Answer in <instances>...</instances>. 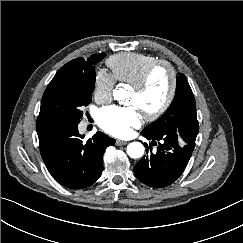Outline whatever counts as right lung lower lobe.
<instances>
[{
    "instance_id": "98d812e1",
    "label": "right lung lower lobe",
    "mask_w": 243,
    "mask_h": 243,
    "mask_svg": "<svg viewBox=\"0 0 243 243\" xmlns=\"http://www.w3.org/2000/svg\"><path fill=\"white\" fill-rule=\"evenodd\" d=\"M79 123L37 121L36 130L43 161L61 185L81 189L96 182L103 171V154L115 140L102 132L83 141Z\"/></svg>"
}]
</instances>
